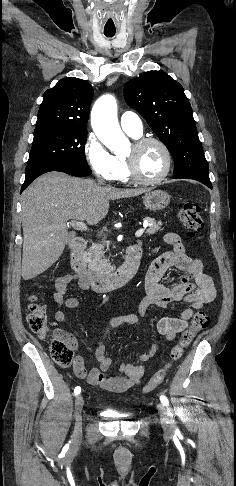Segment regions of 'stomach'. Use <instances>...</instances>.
Segmentation results:
<instances>
[{
    "label": "stomach",
    "instance_id": "stomach-1",
    "mask_svg": "<svg viewBox=\"0 0 236 486\" xmlns=\"http://www.w3.org/2000/svg\"><path fill=\"white\" fill-rule=\"evenodd\" d=\"M171 196L162 190L148 191L143 196L145 207L151 211H160L165 209L170 203Z\"/></svg>",
    "mask_w": 236,
    "mask_h": 486
}]
</instances>
